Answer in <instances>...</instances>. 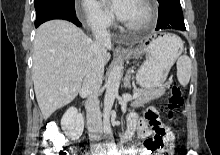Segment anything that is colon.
Instances as JSON below:
<instances>
[{"label":"colon","instance_id":"1","mask_svg":"<svg viewBox=\"0 0 220 155\" xmlns=\"http://www.w3.org/2000/svg\"><path fill=\"white\" fill-rule=\"evenodd\" d=\"M184 104L183 91L178 84H173L170 88L168 97V113L173 117L174 113ZM155 135L149 140L147 149L158 155H169V151L173 145V137L159 125H155ZM48 143H42V148H46L45 155H67V143L60 142L58 132L50 131L46 136Z\"/></svg>","mask_w":220,"mask_h":155}]
</instances>
